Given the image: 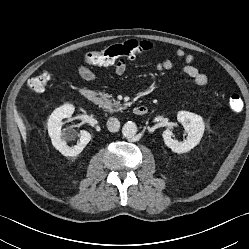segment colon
Masks as SVG:
<instances>
[{"mask_svg":"<svg viewBox=\"0 0 249 249\" xmlns=\"http://www.w3.org/2000/svg\"><path fill=\"white\" fill-rule=\"evenodd\" d=\"M152 48V43L146 40H130L121 44H114L102 50L88 51L83 55V59L92 65L110 64L122 58L134 59L141 53ZM51 79L48 72H43L28 80L27 86L34 93H42L46 90ZM244 103L239 95H231L228 99V107L231 112L242 111Z\"/></svg>","mask_w":249,"mask_h":249,"instance_id":"obj_1","label":"colon"}]
</instances>
